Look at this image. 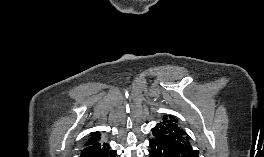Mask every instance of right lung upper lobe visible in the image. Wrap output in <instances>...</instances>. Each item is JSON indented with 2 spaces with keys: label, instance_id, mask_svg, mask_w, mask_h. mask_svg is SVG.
I'll list each match as a JSON object with an SVG mask.
<instances>
[{
  "label": "right lung upper lobe",
  "instance_id": "right-lung-upper-lobe-1",
  "mask_svg": "<svg viewBox=\"0 0 264 157\" xmlns=\"http://www.w3.org/2000/svg\"><path fill=\"white\" fill-rule=\"evenodd\" d=\"M100 140V134L99 132H93L90 134V137L88 141L86 142L85 146H89L91 144H94Z\"/></svg>",
  "mask_w": 264,
  "mask_h": 157
}]
</instances>
